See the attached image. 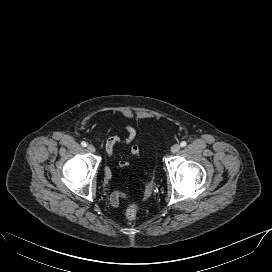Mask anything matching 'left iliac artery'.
<instances>
[{
  "mask_svg": "<svg viewBox=\"0 0 272 272\" xmlns=\"http://www.w3.org/2000/svg\"><path fill=\"white\" fill-rule=\"evenodd\" d=\"M187 145V143L185 142V141H182L181 143H180V146L181 147H185Z\"/></svg>",
  "mask_w": 272,
  "mask_h": 272,
  "instance_id": "44dca946",
  "label": "left iliac artery"
}]
</instances>
